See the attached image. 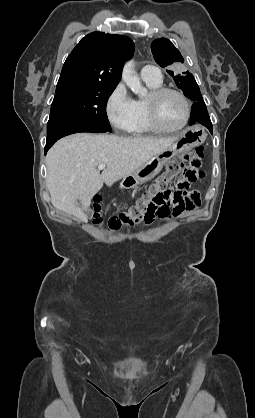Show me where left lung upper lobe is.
Here are the masks:
<instances>
[{"label": "left lung upper lobe", "mask_w": 255, "mask_h": 418, "mask_svg": "<svg viewBox=\"0 0 255 418\" xmlns=\"http://www.w3.org/2000/svg\"><path fill=\"white\" fill-rule=\"evenodd\" d=\"M152 54L155 61L162 68L173 67V70H166L174 79L178 88L189 99L198 102L202 101L200 89L191 73L183 72L176 67L184 62V59L177 48L166 38H159L151 44Z\"/></svg>", "instance_id": "5c2ea615"}]
</instances>
